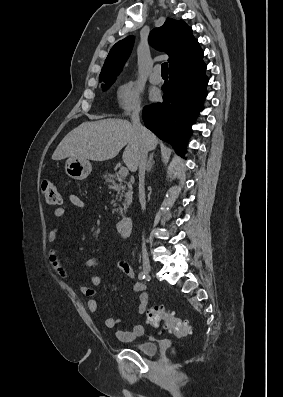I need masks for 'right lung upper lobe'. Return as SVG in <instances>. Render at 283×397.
I'll return each mask as SVG.
<instances>
[{"label": "right lung upper lobe", "mask_w": 283, "mask_h": 397, "mask_svg": "<svg viewBox=\"0 0 283 397\" xmlns=\"http://www.w3.org/2000/svg\"><path fill=\"white\" fill-rule=\"evenodd\" d=\"M134 37L117 42L110 50L100 73V80L114 79L130 55ZM150 44L169 55V70L203 57V51L192 29L182 20L167 18L165 23L150 33Z\"/></svg>", "instance_id": "1"}]
</instances>
